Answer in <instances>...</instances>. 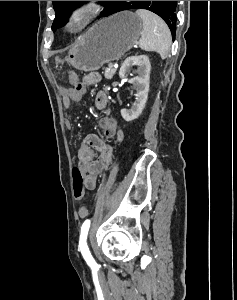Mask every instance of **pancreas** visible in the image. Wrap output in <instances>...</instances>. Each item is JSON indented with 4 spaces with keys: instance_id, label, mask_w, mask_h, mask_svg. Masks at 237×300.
<instances>
[{
    "instance_id": "1",
    "label": "pancreas",
    "mask_w": 237,
    "mask_h": 300,
    "mask_svg": "<svg viewBox=\"0 0 237 300\" xmlns=\"http://www.w3.org/2000/svg\"><path fill=\"white\" fill-rule=\"evenodd\" d=\"M115 73H116V69H114V67H112L111 69L108 67V69H106V73H105L106 79H112V77H113V75H115Z\"/></svg>"
}]
</instances>
